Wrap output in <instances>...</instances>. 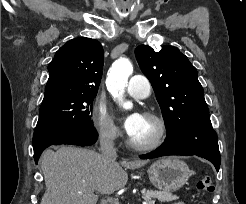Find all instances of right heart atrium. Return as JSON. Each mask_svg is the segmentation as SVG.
<instances>
[{"label":"right heart atrium","mask_w":246,"mask_h":204,"mask_svg":"<svg viewBox=\"0 0 246 204\" xmlns=\"http://www.w3.org/2000/svg\"><path fill=\"white\" fill-rule=\"evenodd\" d=\"M92 124L98 137L104 142H114L120 133L114 117L105 104L96 101L92 109Z\"/></svg>","instance_id":"right-heart-atrium-1"}]
</instances>
